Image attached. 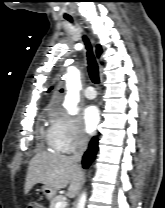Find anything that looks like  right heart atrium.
<instances>
[{
    "label": "right heart atrium",
    "instance_id": "obj_1",
    "mask_svg": "<svg viewBox=\"0 0 165 208\" xmlns=\"http://www.w3.org/2000/svg\"><path fill=\"white\" fill-rule=\"evenodd\" d=\"M48 140L55 151L69 154L84 145L87 137L74 117L53 109Z\"/></svg>",
    "mask_w": 165,
    "mask_h": 208
}]
</instances>
